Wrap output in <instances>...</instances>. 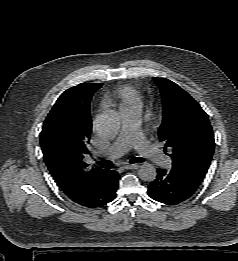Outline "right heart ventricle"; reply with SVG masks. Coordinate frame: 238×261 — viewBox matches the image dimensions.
Segmentation results:
<instances>
[{"label": "right heart ventricle", "instance_id": "1", "mask_svg": "<svg viewBox=\"0 0 238 261\" xmlns=\"http://www.w3.org/2000/svg\"><path fill=\"white\" fill-rule=\"evenodd\" d=\"M108 103L118 107L121 114L138 112L143 107V96L133 85L123 84L116 87L107 99Z\"/></svg>", "mask_w": 238, "mask_h": 261}]
</instances>
